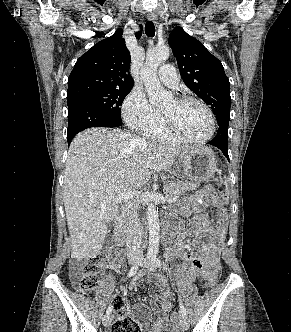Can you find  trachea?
<instances>
[{"instance_id":"trachea-1","label":"trachea","mask_w":291,"mask_h":332,"mask_svg":"<svg viewBox=\"0 0 291 332\" xmlns=\"http://www.w3.org/2000/svg\"><path fill=\"white\" fill-rule=\"evenodd\" d=\"M145 33L148 37L155 35V26L152 21H147L145 24Z\"/></svg>"}]
</instances>
